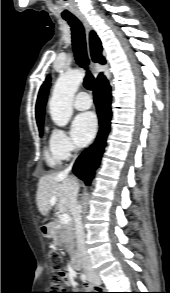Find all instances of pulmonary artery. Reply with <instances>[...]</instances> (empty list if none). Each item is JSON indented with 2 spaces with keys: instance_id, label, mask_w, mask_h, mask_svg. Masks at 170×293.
I'll return each instance as SVG.
<instances>
[{
  "instance_id": "obj_1",
  "label": "pulmonary artery",
  "mask_w": 170,
  "mask_h": 293,
  "mask_svg": "<svg viewBox=\"0 0 170 293\" xmlns=\"http://www.w3.org/2000/svg\"><path fill=\"white\" fill-rule=\"evenodd\" d=\"M77 110H87L92 106V100L86 92H79L73 102Z\"/></svg>"
}]
</instances>
